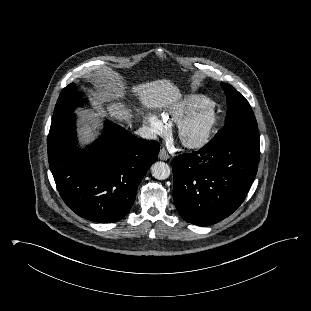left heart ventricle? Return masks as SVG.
Returning <instances> with one entry per match:
<instances>
[{
    "label": "left heart ventricle",
    "instance_id": "left-heart-ventricle-1",
    "mask_svg": "<svg viewBox=\"0 0 311 311\" xmlns=\"http://www.w3.org/2000/svg\"><path fill=\"white\" fill-rule=\"evenodd\" d=\"M203 130V125L201 123L194 125L187 131V137L188 138H196L198 137Z\"/></svg>",
    "mask_w": 311,
    "mask_h": 311
}]
</instances>
